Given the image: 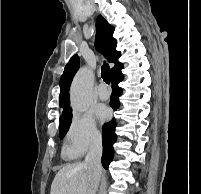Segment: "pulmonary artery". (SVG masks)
<instances>
[{
    "mask_svg": "<svg viewBox=\"0 0 201 194\" xmlns=\"http://www.w3.org/2000/svg\"><path fill=\"white\" fill-rule=\"evenodd\" d=\"M97 95L100 100H107L109 98V91L104 84L99 85Z\"/></svg>",
    "mask_w": 201,
    "mask_h": 194,
    "instance_id": "pulmonary-artery-1",
    "label": "pulmonary artery"
}]
</instances>
